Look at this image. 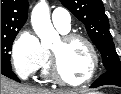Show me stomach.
Masks as SVG:
<instances>
[{
  "label": "stomach",
  "mask_w": 121,
  "mask_h": 94,
  "mask_svg": "<svg viewBox=\"0 0 121 94\" xmlns=\"http://www.w3.org/2000/svg\"><path fill=\"white\" fill-rule=\"evenodd\" d=\"M85 94H102V93L94 92V93H85Z\"/></svg>",
  "instance_id": "obj_1"
}]
</instances>
